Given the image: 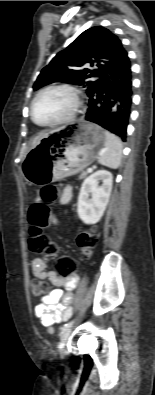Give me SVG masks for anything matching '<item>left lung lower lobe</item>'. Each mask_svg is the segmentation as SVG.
<instances>
[{
	"label": "left lung lower lobe",
	"mask_w": 155,
	"mask_h": 395,
	"mask_svg": "<svg viewBox=\"0 0 155 395\" xmlns=\"http://www.w3.org/2000/svg\"><path fill=\"white\" fill-rule=\"evenodd\" d=\"M132 104V75L128 55L101 79L89 95L85 119L94 122L126 141Z\"/></svg>",
	"instance_id": "1"
}]
</instances>
